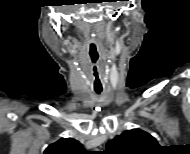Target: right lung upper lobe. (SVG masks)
<instances>
[{
	"mask_svg": "<svg viewBox=\"0 0 190 154\" xmlns=\"http://www.w3.org/2000/svg\"><path fill=\"white\" fill-rule=\"evenodd\" d=\"M82 145L73 138H62L49 145L44 154H83Z\"/></svg>",
	"mask_w": 190,
	"mask_h": 154,
	"instance_id": "obj_1",
	"label": "right lung upper lobe"
}]
</instances>
